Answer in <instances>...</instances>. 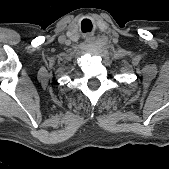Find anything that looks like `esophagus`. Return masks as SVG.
Returning <instances> with one entry per match:
<instances>
[{
	"label": "esophagus",
	"instance_id": "34e87169",
	"mask_svg": "<svg viewBox=\"0 0 169 169\" xmlns=\"http://www.w3.org/2000/svg\"><path fill=\"white\" fill-rule=\"evenodd\" d=\"M93 40H94V36L93 35L89 34V35L86 36V42H91Z\"/></svg>",
	"mask_w": 169,
	"mask_h": 169
}]
</instances>
